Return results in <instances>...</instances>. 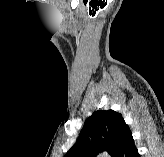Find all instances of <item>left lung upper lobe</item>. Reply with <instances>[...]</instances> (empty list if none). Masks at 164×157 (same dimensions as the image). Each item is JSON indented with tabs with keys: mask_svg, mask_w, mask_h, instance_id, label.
Masks as SVG:
<instances>
[{
	"mask_svg": "<svg viewBox=\"0 0 164 157\" xmlns=\"http://www.w3.org/2000/svg\"><path fill=\"white\" fill-rule=\"evenodd\" d=\"M130 137V128L120 113L96 111L86 120L77 142L64 157H97L102 152L114 157Z\"/></svg>",
	"mask_w": 164,
	"mask_h": 157,
	"instance_id": "left-lung-upper-lobe-1",
	"label": "left lung upper lobe"
}]
</instances>
